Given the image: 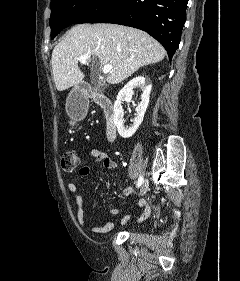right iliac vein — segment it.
I'll return each mask as SVG.
<instances>
[{
	"label": "right iliac vein",
	"mask_w": 240,
	"mask_h": 281,
	"mask_svg": "<svg viewBox=\"0 0 240 281\" xmlns=\"http://www.w3.org/2000/svg\"><path fill=\"white\" fill-rule=\"evenodd\" d=\"M148 187H149V183H148V180H145L142 185H141V188H140V195H144L147 190H148Z\"/></svg>",
	"instance_id": "right-iliac-vein-1"
}]
</instances>
